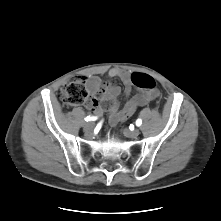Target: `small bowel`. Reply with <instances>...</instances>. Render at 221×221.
Segmentation results:
<instances>
[{"mask_svg": "<svg viewBox=\"0 0 221 221\" xmlns=\"http://www.w3.org/2000/svg\"><path fill=\"white\" fill-rule=\"evenodd\" d=\"M135 74L147 75L140 72L130 73L120 68H113L109 71L110 78H118L123 82L126 96L130 95L135 85L133 82ZM84 80L88 91L92 95L89 108L94 110L97 115H102L104 111H108L109 122L112 125L131 117L139 106L146 105L159 96L158 90H141L120 108L116 101L121 91L118 86L104 82L97 76L85 77Z\"/></svg>", "mask_w": 221, "mask_h": 221, "instance_id": "small-bowel-1", "label": "small bowel"}]
</instances>
